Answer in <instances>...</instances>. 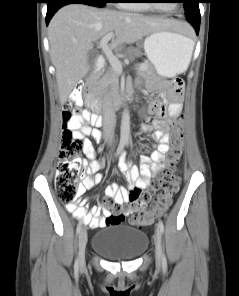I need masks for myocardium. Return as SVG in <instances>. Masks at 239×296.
Returning a JSON list of instances; mask_svg holds the SVG:
<instances>
[{"instance_id": "f54148a6", "label": "myocardium", "mask_w": 239, "mask_h": 296, "mask_svg": "<svg viewBox=\"0 0 239 296\" xmlns=\"http://www.w3.org/2000/svg\"><path fill=\"white\" fill-rule=\"evenodd\" d=\"M146 2H147L146 5L148 6V8H152V9H154V10H156V11L163 12V13H166V12H167V10H164V9L160 8V7L155 3L154 0H146Z\"/></svg>"}]
</instances>
